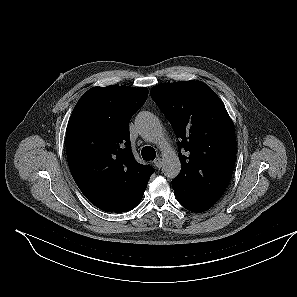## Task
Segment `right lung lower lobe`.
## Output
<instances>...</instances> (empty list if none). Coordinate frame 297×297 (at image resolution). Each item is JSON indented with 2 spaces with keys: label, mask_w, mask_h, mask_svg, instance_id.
<instances>
[{
  "label": "right lung lower lobe",
  "mask_w": 297,
  "mask_h": 297,
  "mask_svg": "<svg viewBox=\"0 0 297 297\" xmlns=\"http://www.w3.org/2000/svg\"><path fill=\"white\" fill-rule=\"evenodd\" d=\"M143 194H144V193H143ZM143 194H142V195L140 196V198L135 202V204L132 206V208L138 205V203L141 201V199H142V197H143Z\"/></svg>",
  "instance_id": "obj_1"
}]
</instances>
